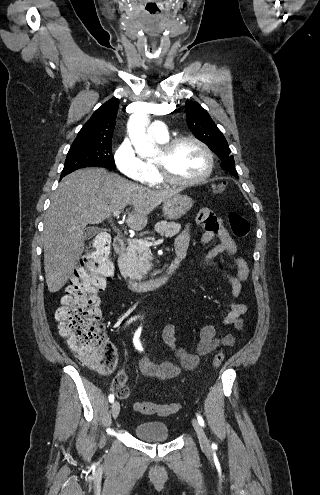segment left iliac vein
<instances>
[{
  "label": "left iliac vein",
  "instance_id": "obj_1",
  "mask_svg": "<svg viewBox=\"0 0 320 495\" xmlns=\"http://www.w3.org/2000/svg\"><path fill=\"white\" fill-rule=\"evenodd\" d=\"M192 425H193L194 430L196 431V434L198 436V440H199L201 448L204 451H210V449H211L210 443H209V440L207 439V437L205 435L203 428L200 426V424L198 423V421L196 419H192Z\"/></svg>",
  "mask_w": 320,
  "mask_h": 495
}]
</instances>
